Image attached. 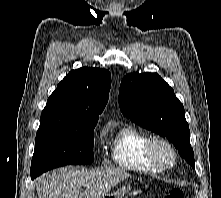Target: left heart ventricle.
<instances>
[{"instance_id":"left-heart-ventricle-1","label":"left heart ventricle","mask_w":221,"mask_h":198,"mask_svg":"<svg viewBox=\"0 0 221 198\" xmlns=\"http://www.w3.org/2000/svg\"><path fill=\"white\" fill-rule=\"evenodd\" d=\"M160 155H161V158L166 162H169L171 159L170 154L166 149L161 148Z\"/></svg>"}]
</instances>
